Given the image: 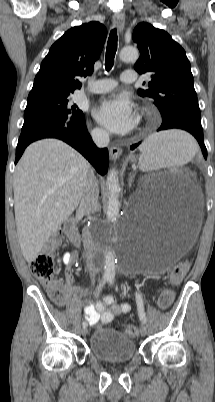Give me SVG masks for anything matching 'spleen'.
Returning a JSON list of instances; mask_svg holds the SVG:
<instances>
[{"label":"spleen","mask_w":215,"mask_h":402,"mask_svg":"<svg viewBox=\"0 0 215 402\" xmlns=\"http://www.w3.org/2000/svg\"><path fill=\"white\" fill-rule=\"evenodd\" d=\"M140 150V167L143 170L181 165L195 153L193 133H188L187 128H172L148 138Z\"/></svg>","instance_id":"obj_1"}]
</instances>
